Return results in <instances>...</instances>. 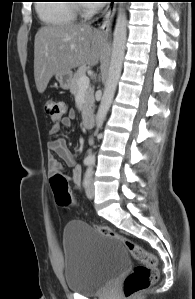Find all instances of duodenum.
Returning <instances> with one entry per match:
<instances>
[{"label": "duodenum", "mask_w": 195, "mask_h": 299, "mask_svg": "<svg viewBox=\"0 0 195 299\" xmlns=\"http://www.w3.org/2000/svg\"><path fill=\"white\" fill-rule=\"evenodd\" d=\"M81 119L86 128L92 127L94 124V113L92 109H86L82 112Z\"/></svg>", "instance_id": "duodenum-1"}]
</instances>
